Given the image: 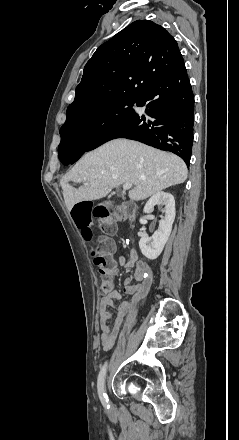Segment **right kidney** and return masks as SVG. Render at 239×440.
<instances>
[{
  "mask_svg": "<svg viewBox=\"0 0 239 440\" xmlns=\"http://www.w3.org/2000/svg\"><path fill=\"white\" fill-rule=\"evenodd\" d=\"M154 206H159V208L164 206L162 212H164L165 218L160 220L159 230H156L151 238H149L147 234L141 236L139 242L140 250L143 256L148 258V260H156V258L160 256L167 240H169L176 214L175 200L169 192H157V194H153L144 206V214H150V212H153ZM139 222L140 224H147V220H143V218H140Z\"/></svg>",
  "mask_w": 239,
  "mask_h": 440,
  "instance_id": "obj_1",
  "label": "right kidney"
}]
</instances>
